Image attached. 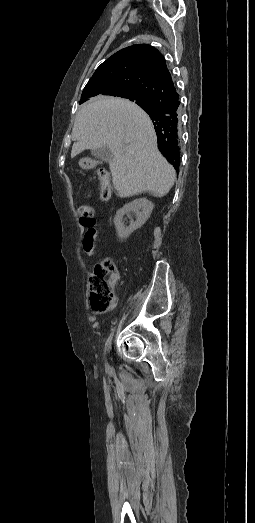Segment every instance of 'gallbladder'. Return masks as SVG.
Instances as JSON below:
<instances>
[{
  "label": "gallbladder",
  "instance_id": "1",
  "mask_svg": "<svg viewBox=\"0 0 255 523\" xmlns=\"http://www.w3.org/2000/svg\"><path fill=\"white\" fill-rule=\"evenodd\" d=\"M91 156H95V158H99V160H103V162H112L113 160V154L108 146L91 150Z\"/></svg>",
  "mask_w": 255,
  "mask_h": 523
}]
</instances>
